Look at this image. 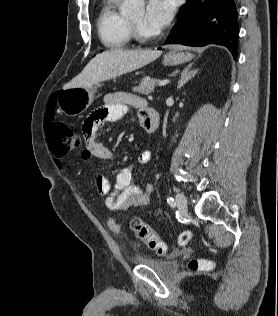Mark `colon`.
I'll return each instance as SVG.
<instances>
[{
    "instance_id": "1",
    "label": "colon",
    "mask_w": 278,
    "mask_h": 316,
    "mask_svg": "<svg viewBox=\"0 0 278 316\" xmlns=\"http://www.w3.org/2000/svg\"><path fill=\"white\" fill-rule=\"evenodd\" d=\"M47 136L50 149L54 155L61 157L78 149L81 145L80 135L62 122H53L47 128ZM130 227L135 235L146 243L158 255H165L166 244L142 219L134 217L130 221ZM191 233L183 231L179 236V244L184 245L190 239ZM212 263L203 259H193L189 268L193 271L209 269Z\"/></svg>"
}]
</instances>
